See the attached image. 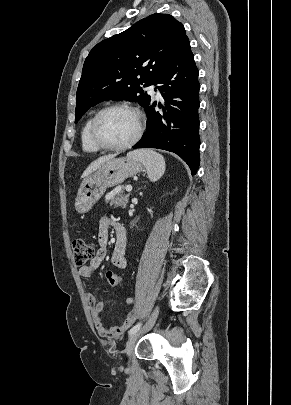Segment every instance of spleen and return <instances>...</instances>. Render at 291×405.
Segmentation results:
<instances>
[{
    "label": "spleen",
    "mask_w": 291,
    "mask_h": 405,
    "mask_svg": "<svg viewBox=\"0 0 291 405\" xmlns=\"http://www.w3.org/2000/svg\"><path fill=\"white\" fill-rule=\"evenodd\" d=\"M129 158L141 162L148 174L150 181L159 180L165 172V160L163 156L153 150H135L127 154Z\"/></svg>",
    "instance_id": "3e777b00"
}]
</instances>
